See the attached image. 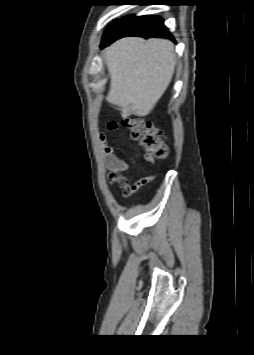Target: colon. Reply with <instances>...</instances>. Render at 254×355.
<instances>
[{
    "label": "colon",
    "mask_w": 254,
    "mask_h": 355,
    "mask_svg": "<svg viewBox=\"0 0 254 355\" xmlns=\"http://www.w3.org/2000/svg\"><path fill=\"white\" fill-rule=\"evenodd\" d=\"M112 124L110 123V126ZM121 124L129 129L132 139L144 148L147 158L165 159L168 157L169 149L162 137V132L152 123L127 118Z\"/></svg>",
    "instance_id": "5ec220e1"
}]
</instances>
